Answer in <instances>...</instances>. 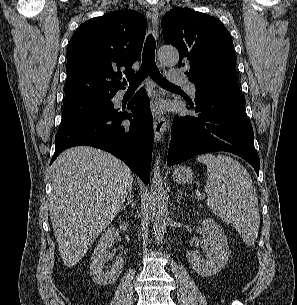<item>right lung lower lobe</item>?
I'll return each instance as SVG.
<instances>
[{"label": "right lung lower lobe", "mask_w": 297, "mask_h": 305, "mask_svg": "<svg viewBox=\"0 0 297 305\" xmlns=\"http://www.w3.org/2000/svg\"><path fill=\"white\" fill-rule=\"evenodd\" d=\"M124 109L113 106L96 110L61 126L55 136V153L50 164L67 148L89 145L124 161L147 185L154 130L149 98L144 89L128 103L127 109L131 113Z\"/></svg>", "instance_id": "obj_1"}]
</instances>
